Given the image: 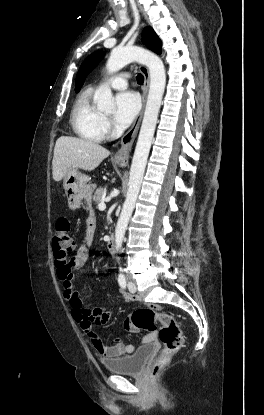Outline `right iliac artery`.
I'll return each instance as SVG.
<instances>
[{
	"label": "right iliac artery",
	"mask_w": 264,
	"mask_h": 415,
	"mask_svg": "<svg viewBox=\"0 0 264 415\" xmlns=\"http://www.w3.org/2000/svg\"><path fill=\"white\" fill-rule=\"evenodd\" d=\"M119 270H120V271H123V268H122V267H120V268H119ZM118 283H119V285L121 286V288H123V289H125V288H126V286H127V282H126V279H125V276H124V275H122V276H120V277H119V279H118Z\"/></svg>",
	"instance_id": "right-iliac-artery-1"
}]
</instances>
